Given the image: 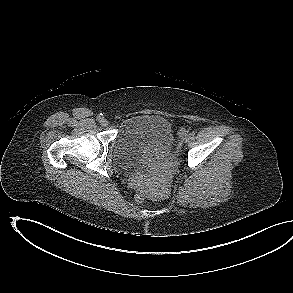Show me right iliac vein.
<instances>
[{
	"mask_svg": "<svg viewBox=\"0 0 293 293\" xmlns=\"http://www.w3.org/2000/svg\"><path fill=\"white\" fill-rule=\"evenodd\" d=\"M100 123H101L102 126H107L108 125V120L103 118Z\"/></svg>",
	"mask_w": 293,
	"mask_h": 293,
	"instance_id": "right-iliac-vein-1",
	"label": "right iliac vein"
}]
</instances>
